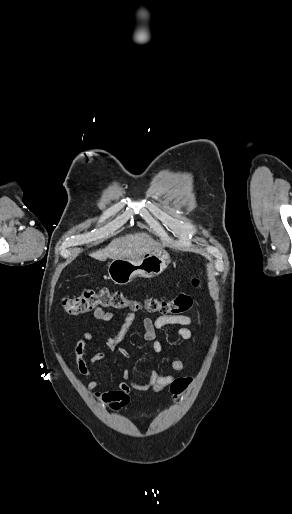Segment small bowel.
Returning a JSON list of instances; mask_svg holds the SVG:
<instances>
[{
	"label": "small bowel",
	"mask_w": 292,
	"mask_h": 514,
	"mask_svg": "<svg viewBox=\"0 0 292 514\" xmlns=\"http://www.w3.org/2000/svg\"><path fill=\"white\" fill-rule=\"evenodd\" d=\"M94 317L103 322H108L113 319V313L110 311H106L103 308H96L93 312ZM137 321V316L135 312H130L126 315L124 319L123 328L119 334L109 337L106 339V347L109 350H117L118 353L124 357L128 358L129 353L126 349L120 348L119 345L124 337V332L127 326ZM192 323V320L189 316L186 315H175V316H159L155 320H152L149 317H144L141 320V325L143 329V339L148 342L153 343V350L155 353H160L162 351V345L157 341L156 335L157 332L169 325H179L180 328L177 329V336L185 341H190L193 339V332L187 326ZM93 333L91 331H86L82 334L81 339L77 341L74 347V355L76 360V365L79 373L85 377H92L94 374L93 367L105 358L104 353H97L90 357L89 359L85 356V351L88 342L93 338ZM169 368L173 371L180 372L185 370L186 363L180 359H174L170 361ZM124 381L117 384L115 389H111L104 392L96 391L99 382L97 379H91L87 383V387L89 390L94 391V396L100 402L104 404H109L107 409L109 411L119 412L122 407L127 405L129 401V393L131 390H135L138 392H146L149 390L153 391H161L166 388L167 385H171L177 378L173 374L163 375L157 370H151L149 377L144 382H139L131 379L130 373L128 370L123 372ZM115 404V405H114Z\"/></svg>",
	"instance_id": "c3829d8e"
}]
</instances>
